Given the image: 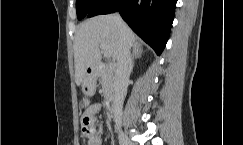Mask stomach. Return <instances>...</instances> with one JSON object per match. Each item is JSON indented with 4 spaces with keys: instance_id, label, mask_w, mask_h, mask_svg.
Here are the masks:
<instances>
[{
    "instance_id": "stomach-1",
    "label": "stomach",
    "mask_w": 243,
    "mask_h": 145,
    "mask_svg": "<svg viewBox=\"0 0 243 145\" xmlns=\"http://www.w3.org/2000/svg\"><path fill=\"white\" fill-rule=\"evenodd\" d=\"M95 81L92 78H86L82 85V90L85 94L93 92Z\"/></svg>"
}]
</instances>
